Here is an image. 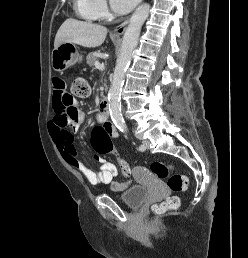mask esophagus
I'll return each mask as SVG.
<instances>
[{
  "mask_svg": "<svg viewBox=\"0 0 248 258\" xmlns=\"http://www.w3.org/2000/svg\"><path fill=\"white\" fill-rule=\"evenodd\" d=\"M143 1V0H141ZM129 20H130V17L126 18L125 21H123L120 25H118L115 29H114V33L116 35H122L126 28H127V25L129 23Z\"/></svg>",
  "mask_w": 248,
  "mask_h": 258,
  "instance_id": "obj_1",
  "label": "esophagus"
}]
</instances>
